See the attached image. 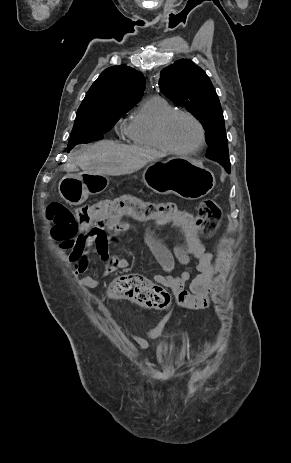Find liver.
Masks as SVG:
<instances>
[{
  "label": "liver",
  "instance_id": "obj_1",
  "mask_svg": "<svg viewBox=\"0 0 291 463\" xmlns=\"http://www.w3.org/2000/svg\"><path fill=\"white\" fill-rule=\"evenodd\" d=\"M164 156L157 150L103 140L84 146L66 167L68 172L80 167L87 174L119 176L131 174Z\"/></svg>",
  "mask_w": 291,
  "mask_h": 463
}]
</instances>
